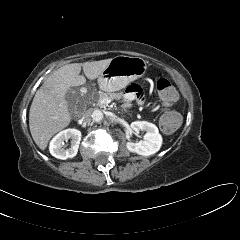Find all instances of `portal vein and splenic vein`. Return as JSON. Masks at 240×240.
Here are the masks:
<instances>
[{
	"mask_svg": "<svg viewBox=\"0 0 240 240\" xmlns=\"http://www.w3.org/2000/svg\"><path fill=\"white\" fill-rule=\"evenodd\" d=\"M100 102L103 103V104H108V103L111 102V99H109V98H103Z\"/></svg>",
	"mask_w": 240,
	"mask_h": 240,
	"instance_id": "portal-vein-and-splenic-vein-1",
	"label": "portal vein and splenic vein"
}]
</instances>
